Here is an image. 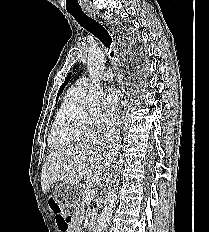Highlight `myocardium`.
Masks as SVG:
<instances>
[{
    "label": "myocardium",
    "mask_w": 209,
    "mask_h": 232,
    "mask_svg": "<svg viewBox=\"0 0 209 232\" xmlns=\"http://www.w3.org/2000/svg\"><path fill=\"white\" fill-rule=\"evenodd\" d=\"M75 128L82 132L90 133L95 129L94 120L83 113H80L75 120Z\"/></svg>",
    "instance_id": "f54148a6"
}]
</instances>
